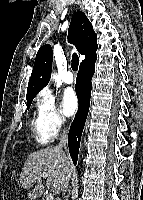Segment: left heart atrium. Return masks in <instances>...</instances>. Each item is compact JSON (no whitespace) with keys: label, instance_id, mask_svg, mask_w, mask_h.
<instances>
[{"label":"left heart atrium","instance_id":"39dd6f15","mask_svg":"<svg viewBox=\"0 0 143 200\" xmlns=\"http://www.w3.org/2000/svg\"><path fill=\"white\" fill-rule=\"evenodd\" d=\"M62 112L65 116H72L78 107V99L73 89L67 88L62 94Z\"/></svg>","mask_w":143,"mask_h":200}]
</instances>
